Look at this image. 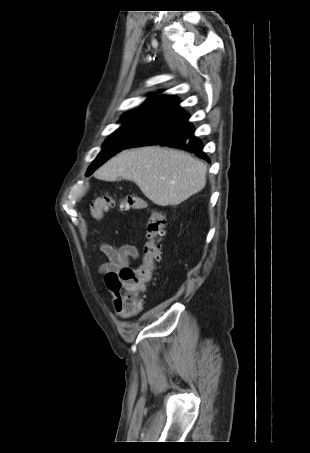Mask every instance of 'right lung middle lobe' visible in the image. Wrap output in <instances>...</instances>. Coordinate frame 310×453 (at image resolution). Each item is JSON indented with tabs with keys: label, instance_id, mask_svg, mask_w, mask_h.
I'll return each mask as SVG.
<instances>
[{
	"label": "right lung middle lobe",
	"instance_id": "dd1d6c3e",
	"mask_svg": "<svg viewBox=\"0 0 310 453\" xmlns=\"http://www.w3.org/2000/svg\"><path fill=\"white\" fill-rule=\"evenodd\" d=\"M156 119L154 117H123V125L106 139L101 153L89 167L87 175H90L109 158L123 150Z\"/></svg>",
	"mask_w": 310,
	"mask_h": 453
}]
</instances>
